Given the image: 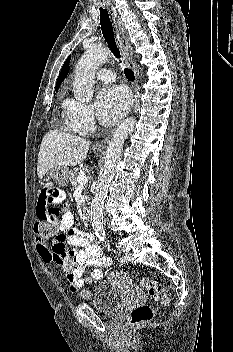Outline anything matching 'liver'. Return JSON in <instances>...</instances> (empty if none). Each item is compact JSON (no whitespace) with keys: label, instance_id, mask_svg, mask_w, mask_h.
Masks as SVG:
<instances>
[{"label":"liver","instance_id":"liver-1","mask_svg":"<svg viewBox=\"0 0 233 352\" xmlns=\"http://www.w3.org/2000/svg\"><path fill=\"white\" fill-rule=\"evenodd\" d=\"M89 147L90 142L84 138L58 130H50L45 134L38 154L39 179H42L53 167L67 168L82 163Z\"/></svg>","mask_w":233,"mask_h":352}]
</instances>
